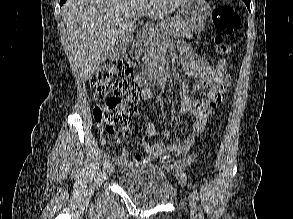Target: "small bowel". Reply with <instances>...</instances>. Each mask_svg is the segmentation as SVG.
Segmentation results:
<instances>
[{
    "label": "small bowel",
    "mask_w": 293,
    "mask_h": 219,
    "mask_svg": "<svg viewBox=\"0 0 293 219\" xmlns=\"http://www.w3.org/2000/svg\"><path fill=\"white\" fill-rule=\"evenodd\" d=\"M180 64L187 77H198L196 88L199 92L208 90L204 98H197L190 93L189 86L183 82L180 89L181 113L192 115L193 120L189 129L186 131L183 139H172L170 141L151 143L150 139L157 135L155 125L151 121L145 122L146 133L141 137V146L146 153L142 155L136 153L132 160L128 159L129 152L123 150L121 154L115 157V162L120 167H128L133 164L150 163L161 156L164 152H172L176 155H186L193 146L197 136L203 132L207 124L208 117L211 116L217 106L223 101L224 92L230 85V77L222 74L216 68H212L207 60L197 54V52L188 45H181ZM153 92L151 89H145L141 93V100L151 98ZM99 138L102 144L108 142V137L104 129L98 125ZM123 134H129V125L123 127ZM163 134H165L163 132ZM183 178V175H181Z\"/></svg>",
    "instance_id": "obj_1"
}]
</instances>
